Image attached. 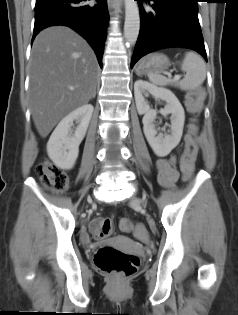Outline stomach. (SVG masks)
I'll return each instance as SVG.
<instances>
[{
  "instance_id": "stomach-1",
  "label": "stomach",
  "mask_w": 238,
  "mask_h": 315,
  "mask_svg": "<svg viewBox=\"0 0 238 315\" xmlns=\"http://www.w3.org/2000/svg\"><path fill=\"white\" fill-rule=\"evenodd\" d=\"M170 66L168 57L161 53H153L144 57L136 68L138 75L155 73L159 74L167 70Z\"/></svg>"
}]
</instances>
